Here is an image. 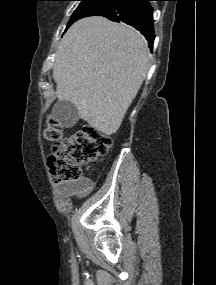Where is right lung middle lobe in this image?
Here are the masks:
<instances>
[{
    "label": "right lung middle lobe",
    "instance_id": "dd1d6c3e",
    "mask_svg": "<svg viewBox=\"0 0 216 285\" xmlns=\"http://www.w3.org/2000/svg\"><path fill=\"white\" fill-rule=\"evenodd\" d=\"M81 1L77 9L72 14L67 24V28L76 20L83 17L94 16L102 10L112 6L118 0H78ZM66 28V29H67Z\"/></svg>",
    "mask_w": 216,
    "mask_h": 285
}]
</instances>
